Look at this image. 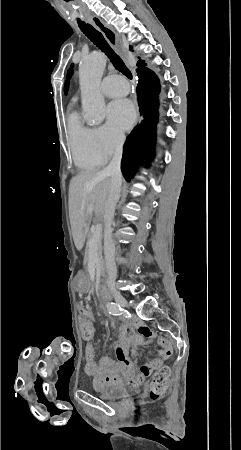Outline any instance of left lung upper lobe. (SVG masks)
I'll list each match as a JSON object with an SVG mask.
<instances>
[{"label": "left lung upper lobe", "mask_w": 241, "mask_h": 450, "mask_svg": "<svg viewBox=\"0 0 241 450\" xmlns=\"http://www.w3.org/2000/svg\"><path fill=\"white\" fill-rule=\"evenodd\" d=\"M72 67H73V64L71 65V68L68 70V72H67V76H66V82H65V87H64V92H65V94H67V92H68V89H69V80H70V78H71V76H72V74H73V69H72Z\"/></svg>", "instance_id": "5c2ea615"}]
</instances>
